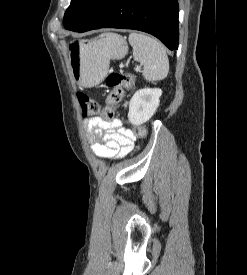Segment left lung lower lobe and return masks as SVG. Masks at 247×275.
I'll list each match as a JSON object with an SVG mask.
<instances>
[{"label": "left lung lower lobe", "instance_id": "0a47b994", "mask_svg": "<svg viewBox=\"0 0 247 275\" xmlns=\"http://www.w3.org/2000/svg\"><path fill=\"white\" fill-rule=\"evenodd\" d=\"M122 28L147 32L170 50L178 49L177 0H103L84 24L72 31Z\"/></svg>", "mask_w": 247, "mask_h": 275}]
</instances>
